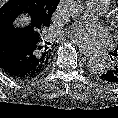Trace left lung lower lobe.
I'll use <instances>...</instances> for the list:
<instances>
[{
  "mask_svg": "<svg viewBox=\"0 0 118 118\" xmlns=\"http://www.w3.org/2000/svg\"><path fill=\"white\" fill-rule=\"evenodd\" d=\"M111 60L113 62L110 67L99 74V78L111 84H118V54H111Z\"/></svg>",
  "mask_w": 118,
  "mask_h": 118,
  "instance_id": "left-lung-lower-lobe-1",
  "label": "left lung lower lobe"
}]
</instances>
